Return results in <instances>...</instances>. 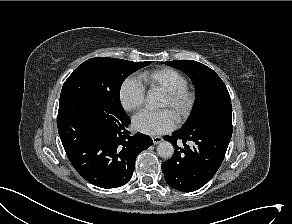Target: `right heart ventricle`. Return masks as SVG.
<instances>
[{
    "mask_svg": "<svg viewBox=\"0 0 292 224\" xmlns=\"http://www.w3.org/2000/svg\"><path fill=\"white\" fill-rule=\"evenodd\" d=\"M142 81L151 89L163 92L178 90L187 87V79L178 71L161 67L141 74Z\"/></svg>",
    "mask_w": 292,
    "mask_h": 224,
    "instance_id": "e07e8e85",
    "label": "right heart ventricle"
}]
</instances>
